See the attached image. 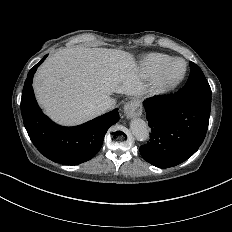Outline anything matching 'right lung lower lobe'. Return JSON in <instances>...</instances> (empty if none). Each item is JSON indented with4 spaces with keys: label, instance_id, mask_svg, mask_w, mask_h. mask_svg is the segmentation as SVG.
<instances>
[{
    "label": "right lung lower lobe",
    "instance_id": "98d812e1",
    "mask_svg": "<svg viewBox=\"0 0 232 232\" xmlns=\"http://www.w3.org/2000/svg\"><path fill=\"white\" fill-rule=\"evenodd\" d=\"M46 57L29 71L24 84L21 99L24 126L32 143L45 157L64 165H78L92 159L100 150L108 128L119 120L118 109L75 127L52 122L39 108L32 88L34 73Z\"/></svg>",
    "mask_w": 232,
    "mask_h": 232
}]
</instances>
